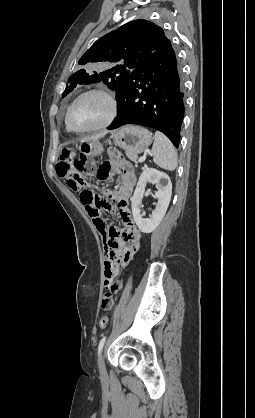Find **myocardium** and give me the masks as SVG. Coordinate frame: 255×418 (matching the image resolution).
Returning <instances> with one entry per match:
<instances>
[{
  "mask_svg": "<svg viewBox=\"0 0 255 418\" xmlns=\"http://www.w3.org/2000/svg\"><path fill=\"white\" fill-rule=\"evenodd\" d=\"M91 94H97V95H101L103 96L108 104H109V112L107 117L105 118V120L103 122H101L100 124H97L95 126H92L90 128H86V129H75L72 127V125L70 124V114L71 111L74 107V105L83 97L87 96V95H91ZM117 112H118V105H117V101L114 98V96L107 90L102 89V88H91L88 90L83 91L82 93H80L69 105L67 111H66V115H65V124L66 127L69 131L74 132V133H78V134H83V133H90V132H95V131H99V130H103L107 127H109L113 121L115 120L116 116H117Z\"/></svg>",
  "mask_w": 255,
  "mask_h": 418,
  "instance_id": "myocardium-1",
  "label": "myocardium"
}]
</instances>
